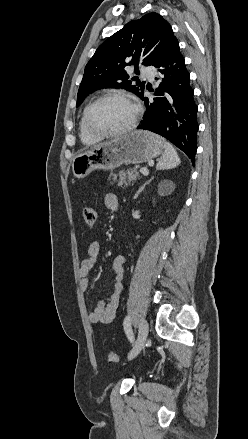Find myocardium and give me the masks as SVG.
Returning a JSON list of instances; mask_svg holds the SVG:
<instances>
[{"label":"myocardium","mask_w":248,"mask_h":439,"mask_svg":"<svg viewBox=\"0 0 248 439\" xmlns=\"http://www.w3.org/2000/svg\"><path fill=\"white\" fill-rule=\"evenodd\" d=\"M108 99L123 100V101H126L133 106L134 116H133L131 122L126 127L122 128L120 130H116V131H102V130H99L93 126V124L91 122L92 110L94 109V107L97 104H99L100 102H102L104 100H108ZM140 114H141L140 106L130 96L123 94V93H118V92L105 93V94L99 96L98 98H96L94 101H92L86 107V110L84 113V123H85V127H86L87 131L90 134H92L93 136L100 137V138L120 136V135L127 134L136 128L138 121H139V118H140Z\"/></svg>","instance_id":"1"}]
</instances>
